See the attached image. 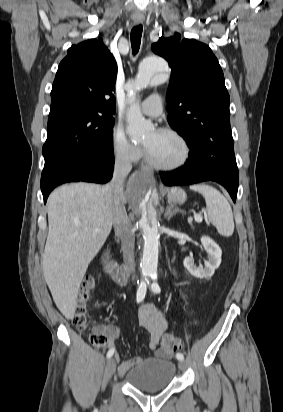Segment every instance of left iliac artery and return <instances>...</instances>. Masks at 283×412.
<instances>
[{
  "label": "left iliac artery",
  "instance_id": "1",
  "mask_svg": "<svg viewBox=\"0 0 283 412\" xmlns=\"http://www.w3.org/2000/svg\"><path fill=\"white\" fill-rule=\"evenodd\" d=\"M151 276V278H152V280H153V283L151 284V289H152V291L154 292V293H160L161 292V289H160V286L158 285V283L155 281L156 280V275H150ZM176 358L178 359V360H184V356H183V354L182 353H177L176 354Z\"/></svg>",
  "mask_w": 283,
  "mask_h": 412
}]
</instances>
